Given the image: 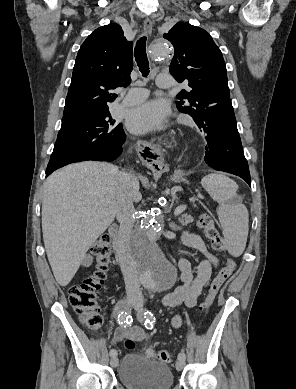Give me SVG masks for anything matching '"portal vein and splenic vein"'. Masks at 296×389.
Listing matches in <instances>:
<instances>
[{
  "label": "portal vein and splenic vein",
  "instance_id": "obj_1",
  "mask_svg": "<svg viewBox=\"0 0 296 389\" xmlns=\"http://www.w3.org/2000/svg\"><path fill=\"white\" fill-rule=\"evenodd\" d=\"M185 209H186V206H184V205H180V206L176 207L175 210H174V215L178 216L179 214L184 212Z\"/></svg>",
  "mask_w": 296,
  "mask_h": 389
}]
</instances>
